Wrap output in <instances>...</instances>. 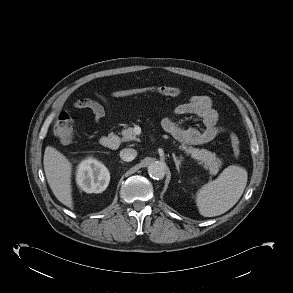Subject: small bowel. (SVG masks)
Masks as SVG:
<instances>
[{
    "label": "small bowel",
    "mask_w": 293,
    "mask_h": 293,
    "mask_svg": "<svg viewBox=\"0 0 293 293\" xmlns=\"http://www.w3.org/2000/svg\"><path fill=\"white\" fill-rule=\"evenodd\" d=\"M96 97L97 99H77L73 103V106L77 109L89 110L93 114L95 122L100 123L107 114V102L102 95L97 94ZM174 114L177 116H196L202 120L205 126L202 130L195 127L183 128L172 119L165 118L162 121L163 129L183 144H207L224 132V128L218 124V112L215 110L211 98L206 95H194L190 97L186 102L175 108Z\"/></svg>",
    "instance_id": "1"
}]
</instances>
